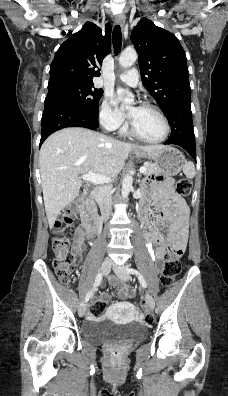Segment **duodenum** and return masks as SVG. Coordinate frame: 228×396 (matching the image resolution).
<instances>
[{
	"label": "duodenum",
	"mask_w": 228,
	"mask_h": 396,
	"mask_svg": "<svg viewBox=\"0 0 228 396\" xmlns=\"http://www.w3.org/2000/svg\"><path fill=\"white\" fill-rule=\"evenodd\" d=\"M82 225L89 233L96 234L101 227V221L93 208V199L90 189L84 191L82 203L79 206Z\"/></svg>",
	"instance_id": "obj_1"
}]
</instances>
